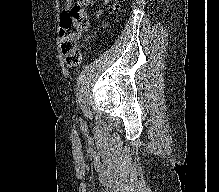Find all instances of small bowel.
Returning a JSON list of instances; mask_svg holds the SVG:
<instances>
[{"mask_svg":"<svg viewBox=\"0 0 219 192\" xmlns=\"http://www.w3.org/2000/svg\"><path fill=\"white\" fill-rule=\"evenodd\" d=\"M70 2H71L70 0H67L66 5L70 6L71 5ZM80 4L83 5V6H87V7H93L94 6L93 0H80ZM100 14H101V12L98 13V15H100Z\"/></svg>","mask_w":219,"mask_h":192,"instance_id":"small-bowel-1","label":"small bowel"}]
</instances>
